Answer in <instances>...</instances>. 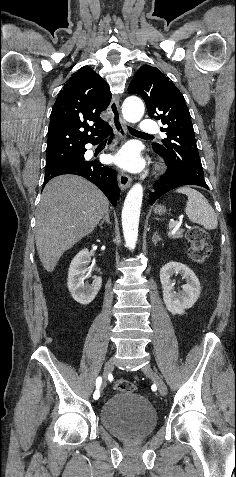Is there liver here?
Listing matches in <instances>:
<instances>
[{"instance_id":"1","label":"liver","mask_w":236,"mask_h":477,"mask_svg":"<svg viewBox=\"0 0 236 477\" xmlns=\"http://www.w3.org/2000/svg\"><path fill=\"white\" fill-rule=\"evenodd\" d=\"M109 211L106 196L74 175L50 180L36 215L35 241L40 261L52 272L63 253L90 234Z\"/></svg>"}]
</instances>
